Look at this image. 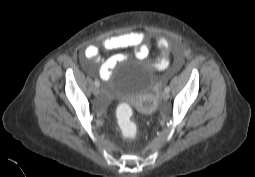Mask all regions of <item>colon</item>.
Here are the masks:
<instances>
[{
    "label": "colon",
    "mask_w": 255,
    "mask_h": 177,
    "mask_svg": "<svg viewBox=\"0 0 255 177\" xmlns=\"http://www.w3.org/2000/svg\"><path fill=\"white\" fill-rule=\"evenodd\" d=\"M156 45L159 48L157 61L152 63L155 71H164L173 60L172 46L166 37H157ZM117 123L121 134L127 139H132L137 134V126L133 119V110L128 104H121L117 109Z\"/></svg>",
    "instance_id": "1"
}]
</instances>
